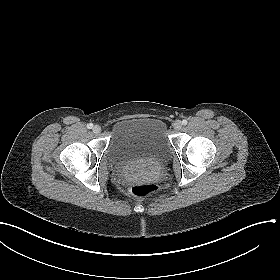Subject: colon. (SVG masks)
<instances>
[{"label": "colon", "mask_w": 280, "mask_h": 280, "mask_svg": "<svg viewBox=\"0 0 280 280\" xmlns=\"http://www.w3.org/2000/svg\"><path fill=\"white\" fill-rule=\"evenodd\" d=\"M131 193L138 197H149L158 192L156 185L152 183H146L141 181H136L131 185Z\"/></svg>", "instance_id": "5ec220e1"}]
</instances>
